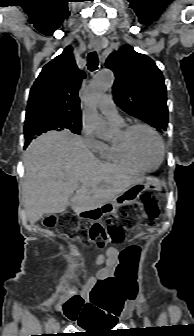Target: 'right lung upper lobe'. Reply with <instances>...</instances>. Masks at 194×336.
I'll return each instance as SVG.
<instances>
[{
	"label": "right lung upper lobe",
	"mask_w": 194,
	"mask_h": 336,
	"mask_svg": "<svg viewBox=\"0 0 194 336\" xmlns=\"http://www.w3.org/2000/svg\"><path fill=\"white\" fill-rule=\"evenodd\" d=\"M85 74L81 72L72 56V48L66 47L61 55L46 64L31 88L25 126L46 121L49 128L53 123L81 124L78 90ZM43 130L25 136L30 143ZM57 131V130H56Z\"/></svg>",
	"instance_id": "cb5924a9"
}]
</instances>
